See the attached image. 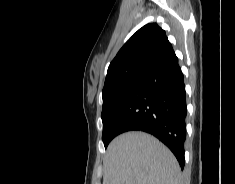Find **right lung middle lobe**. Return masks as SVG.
Here are the masks:
<instances>
[{
	"label": "right lung middle lobe",
	"mask_w": 235,
	"mask_h": 184,
	"mask_svg": "<svg viewBox=\"0 0 235 184\" xmlns=\"http://www.w3.org/2000/svg\"><path fill=\"white\" fill-rule=\"evenodd\" d=\"M143 81L141 77H134L126 80L120 86L113 88L106 93L102 94L103 96V107L101 118L103 121V135L102 140L104 142L105 148H107L110 141L116 137L111 131V125L121 108L124 100L127 98L128 94L133 88L140 85Z\"/></svg>",
	"instance_id": "dd1d6c3e"
}]
</instances>
